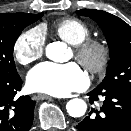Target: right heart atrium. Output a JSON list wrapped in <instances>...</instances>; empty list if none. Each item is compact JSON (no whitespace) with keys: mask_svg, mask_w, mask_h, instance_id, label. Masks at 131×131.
Wrapping results in <instances>:
<instances>
[{"mask_svg":"<svg viewBox=\"0 0 131 131\" xmlns=\"http://www.w3.org/2000/svg\"><path fill=\"white\" fill-rule=\"evenodd\" d=\"M45 49V33L39 26L20 34L14 42L13 52L22 65H29L40 59Z\"/></svg>","mask_w":131,"mask_h":131,"instance_id":"1","label":"right heart atrium"}]
</instances>
